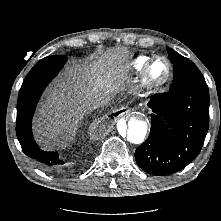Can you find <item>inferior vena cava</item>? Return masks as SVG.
<instances>
[{
    "mask_svg": "<svg viewBox=\"0 0 221 221\" xmlns=\"http://www.w3.org/2000/svg\"><path fill=\"white\" fill-rule=\"evenodd\" d=\"M111 101L110 96L108 95H101L97 98H95L91 103H90V108L91 109H97L101 107L107 106Z\"/></svg>",
    "mask_w": 221,
    "mask_h": 221,
    "instance_id": "inferior-vena-cava-1",
    "label": "inferior vena cava"
}]
</instances>
